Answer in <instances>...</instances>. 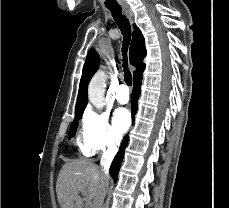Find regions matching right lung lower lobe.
<instances>
[{"label":"right lung lower lobe","instance_id":"1","mask_svg":"<svg viewBox=\"0 0 229 208\" xmlns=\"http://www.w3.org/2000/svg\"><path fill=\"white\" fill-rule=\"evenodd\" d=\"M141 81H142V74L134 77V83H133L134 87H133V92H132V122H134V115L137 112V108H138L137 100H138L140 93H141V90H140ZM128 141H129V138L126 135L123 139V142L121 144V147H120L117 155L115 156V158L111 164L110 175L114 179V182L117 181L120 164L123 160L124 150L128 144Z\"/></svg>","mask_w":229,"mask_h":208}]
</instances>
